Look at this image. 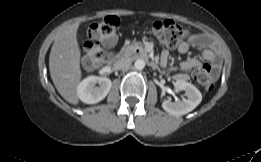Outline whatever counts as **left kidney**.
Returning a JSON list of instances; mask_svg holds the SVG:
<instances>
[{
	"instance_id": "obj_1",
	"label": "left kidney",
	"mask_w": 261,
	"mask_h": 162,
	"mask_svg": "<svg viewBox=\"0 0 261 162\" xmlns=\"http://www.w3.org/2000/svg\"><path fill=\"white\" fill-rule=\"evenodd\" d=\"M174 86L178 90H184L187 99L176 100L172 102L170 99L163 101V109L171 115H184L196 108L202 101L201 92L191 83L184 80H177Z\"/></svg>"
}]
</instances>
